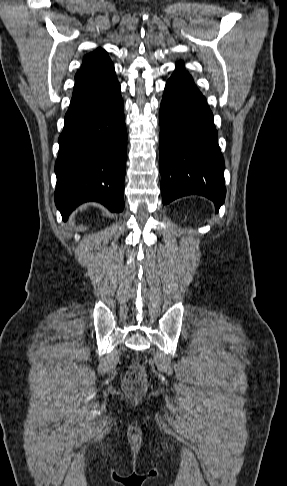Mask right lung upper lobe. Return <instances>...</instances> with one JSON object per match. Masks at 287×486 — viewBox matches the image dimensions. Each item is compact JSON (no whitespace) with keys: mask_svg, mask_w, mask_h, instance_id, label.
I'll return each instance as SVG.
<instances>
[{"mask_svg":"<svg viewBox=\"0 0 287 486\" xmlns=\"http://www.w3.org/2000/svg\"><path fill=\"white\" fill-rule=\"evenodd\" d=\"M115 77L113 63L107 52L99 47L84 56L81 69L75 75L73 93L111 81Z\"/></svg>","mask_w":287,"mask_h":486,"instance_id":"1","label":"right lung upper lobe"}]
</instances>
